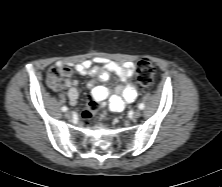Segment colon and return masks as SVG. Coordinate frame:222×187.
Segmentation results:
<instances>
[{"mask_svg":"<svg viewBox=\"0 0 222 187\" xmlns=\"http://www.w3.org/2000/svg\"><path fill=\"white\" fill-rule=\"evenodd\" d=\"M137 72V85L140 89L148 88L154 79L155 75V66L154 64L147 60L142 59L137 62L136 65ZM63 72L59 67H51L48 71V77L58 82L62 79ZM100 103L99 100L92 96L89 100L87 107L83 111L84 117L93 116L99 109Z\"/></svg>","mask_w":222,"mask_h":187,"instance_id":"obj_1","label":"colon"}]
</instances>
